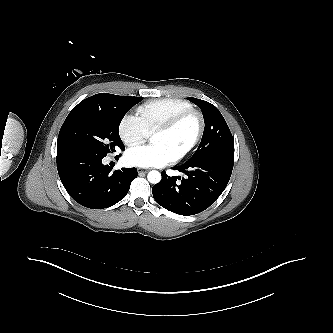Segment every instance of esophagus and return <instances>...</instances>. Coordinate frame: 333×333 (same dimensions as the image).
Here are the masks:
<instances>
[{
  "mask_svg": "<svg viewBox=\"0 0 333 333\" xmlns=\"http://www.w3.org/2000/svg\"><path fill=\"white\" fill-rule=\"evenodd\" d=\"M147 172H148L147 170H143V169H141V168L138 169V174H139V175H143V174H145V173H147Z\"/></svg>",
  "mask_w": 333,
  "mask_h": 333,
  "instance_id": "obj_1",
  "label": "esophagus"
}]
</instances>
